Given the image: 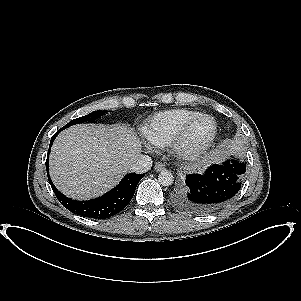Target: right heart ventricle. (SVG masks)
Listing matches in <instances>:
<instances>
[{
    "instance_id": "1",
    "label": "right heart ventricle",
    "mask_w": 301,
    "mask_h": 301,
    "mask_svg": "<svg viewBox=\"0 0 301 301\" xmlns=\"http://www.w3.org/2000/svg\"><path fill=\"white\" fill-rule=\"evenodd\" d=\"M199 112L188 109L160 111L152 115L143 127V135L148 143L164 148L172 142L180 129L198 116Z\"/></svg>"
}]
</instances>
